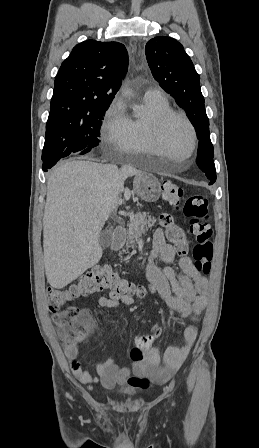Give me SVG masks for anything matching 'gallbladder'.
Returning a JSON list of instances; mask_svg holds the SVG:
<instances>
[{
	"label": "gallbladder",
	"instance_id": "bac80fb5",
	"mask_svg": "<svg viewBox=\"0 0 259 448\" xmlns=\"http://www.w3.org/2000/svg\"><path fill=\"white\" fill-rule=\"evenodd\" d=\"M98 242L101 248H108V246H111L113 242V228H109V230H103V232L99 234Z\"/></svg>",
	"mask_w": 259,
	"mask_h": 448
}]
</instances>
